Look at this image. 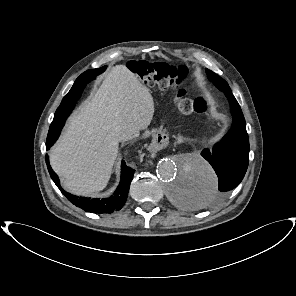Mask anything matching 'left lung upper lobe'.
Wrapping results in <instances>:
<instances>
[{"label": "left lung upper lobe", "instance_id": "5c2ea615", "mask_svg": "<svg viewBox=\"0 0 296 296\" xmlns=\"http://www.w3.org/2000/svg\"><path fill=\"white\" fill-rule=\"evenodd\" d=\"M206 72L208 74V78L215 83L216 87L219 90L225 93L227 98H229L230 96H233L231 93L230 87L228 86L227 82L224 79H222L221 77H219L217 74H215L209 69H206Z\"/></svg>", "mask_w": 296, "mask_h": 296}]
</instances>
